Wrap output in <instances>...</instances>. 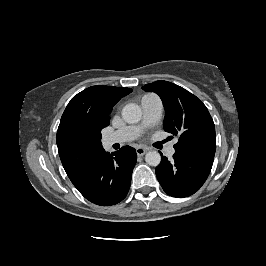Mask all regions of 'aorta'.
<instances>
[{"mask_svg":"<svg viewBox=\"0 0 266 266\" xmlns=\"http://www.w3.org/2000/svg\"><path fill=\"white\" fill-rule=\"evenodd\" d=\"M142 117L141 108L134 103H130L124 106L122 109V118L127 123H137ZM145 161L150 166H158L161 161V156L157 151H150L145 155Z\"/></svg>","mask_w":266,"mask_h":266,"instance_id":"762f6f07","label":"aorta"}]
</instances>
